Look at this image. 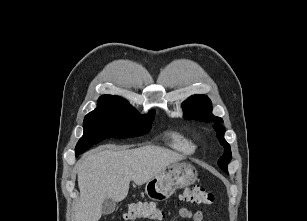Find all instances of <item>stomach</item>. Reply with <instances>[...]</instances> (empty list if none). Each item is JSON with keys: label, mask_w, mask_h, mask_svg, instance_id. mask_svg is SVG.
<instances>
[{"label": "stomach", "mask_w": 307, "mask_h": 221, "mask_svg": "<svg viewBox=\"0 0 307 221\" xmlns=\"http://www.w3.org/2000/svg\"><path fill=\"white\" fill-rule=\"evenodd\" d=\"M196 180L197 172L191 164L175 162L146 183L145 193L152 200H165L177 188H184Z\"/></svg>", "instance_id": "1"}]
</instances>
